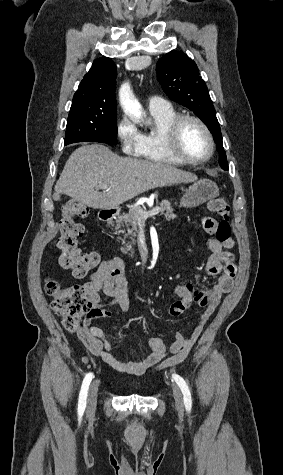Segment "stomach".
Segmentation results:
<instances>
[{
    "label": "stomach",
    "mask_w": 283,
    "mask_h": 475,
    "mask_svg": "<svg viewBox=\"0 0 283 475\" xmlns=\"http://www.w3.org/2000/svg\"><path fill=\"white\" fill-rule=\"evenodd\" d=\"M217 196H219V188L215 182L199 180V182H194L192 186H189V190H186L180 204L183 208H196V206H200L208 200H214Z\"/></svg>",
    "instance_id": "obj_1"
}]
</instances>
